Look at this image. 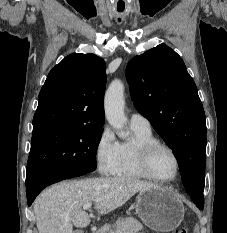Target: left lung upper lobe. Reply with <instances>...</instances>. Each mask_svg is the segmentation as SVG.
Returning a JSON list of instances; mask_svg holds the SVG:
<instances>
[{
  "instance_id": "1",
  "label": "left lung upper lobe",
  "mask_w": 227,
  "mask_h": 233,
  "mask_svg": "<svg viewBox=\"0 0 227 233\" xmlns=\"http://www.w3.org/2000/svg\"><path fill=\"white\" fill-rule=\"evenodd\" d=\"M126 78L137 110L177 158L187 193L204 200L205 113L183 60L160 44L132 58Z\"/></svg>"
}]
</instances>
